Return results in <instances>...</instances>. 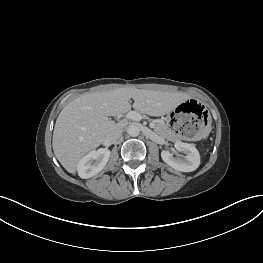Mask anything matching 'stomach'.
<instances>
[{
	"instance_id": "obj_1",
	"label": "stomach",
	"mask_w": 263,
	"mask_h": 263,
	"mask_svg": "<svg viewBox=\"0 0 263 263\" xmlns=\"http://www.w3.org/2000/svg\"><path fill=\"white\" fill-rule=\"evenodd\" d=\"M167 128L177 140L200 141L212 131L213 117L198 99L184 98L168 114Z\"/></svg>"
}]
</instances>
